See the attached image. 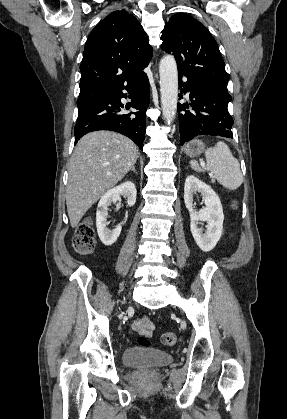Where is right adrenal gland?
Wrapping results in <instances>:
<instances>
[{
    "label": "right adrenal gland",
    "instance_id": "2a0ac1e0",
    "mask_svg": "<svg viewBox=\"0 0 287 419\" xmlns=\"http://www.w3.org/2000/svg\"><path fill=\"white\" fill-rule=\"evenodd\" d=\"M130 171H133L134 173H136L135 166H132V168L130 169Z\"/></svg>",
    "mask_w": 287,
    "mask_h": 419
}]
</instances>
